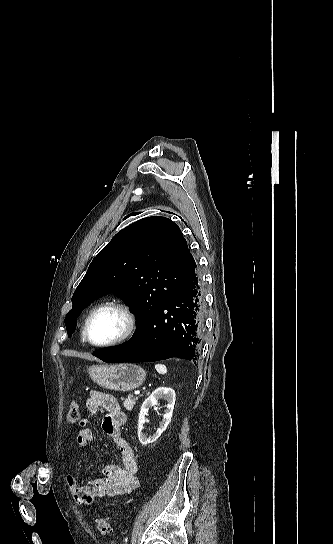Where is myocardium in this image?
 Wrapping results in <instances>:
<instances>
[{
	"instance_id": "f54148a6",
	"label": "myocardium",
	"mask_w": 333,
	"mask_h": 544,
	"mask_svg": "<svg viewBox=\"0 0 333 544\" xmlns=\"http://www.w3.org/2000/svg\"><path fill=\"white\" fill-rule=\"evenodd\" d=\"M106 307H113V308L117 309L123 315V317L125 319V326H124V329H123L122 333L117 338H115V339H113L111 341H108V342L96 343V342H93L89 337V334H88L89 324H90V321H91L92 317L99 310H101L103 308H106ZM136 326H137L136 316H135L134 312L132 311V309L130 308V306L121 299L109 298V299H105V300L101 301L100 303H98L97 305H95L91 309L89 314L87 315V317L85 319V322H84V326H83V338L88 344H90L93 347H97V348L112 347V346L119 345V344L125 342L127 339H129L134 334V332L136 330Z\"/></svg>"
}]
</instances>
